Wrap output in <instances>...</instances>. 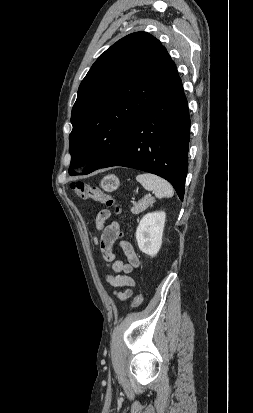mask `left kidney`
<instances>
[{"label": "left kidney", "mask_w": 253, "mask_h": 413, "mask_svg": "<svg viewBox=\"0 0 253 413\" xmlns=\"http://www.w3.org/2000/svg\"><path fill=\"white\" fill-rule=\"evenodd\" d=\"M166 214L163 211L148 213L141 219L137 230L136 239L139 249L154 257L162 245V236Z\"/></svg>", "instance_id": "5707ae66"}]
</instances>
